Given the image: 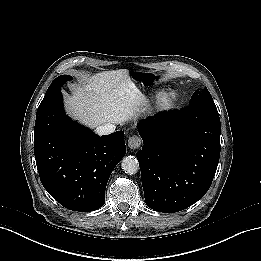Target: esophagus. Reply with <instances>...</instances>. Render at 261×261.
<instances>
[{
    "label": "esophagus",
    "instance_id": "34e87169",
    "mask_svg": "<svg viewBox=\"0 0 261 261\" xmlns=\"http://www.w3.org/2000/svg\"><path fill=\"white\" fill-rule=\"evenodd\" d=\"M142 144V140L138 136H132L128 139V146L131 150L138 149Z\"/></svg>",
    "mask_w": 261,
    "mask_h": 261
}]
</instances>
